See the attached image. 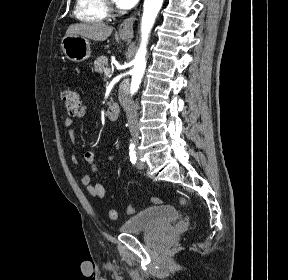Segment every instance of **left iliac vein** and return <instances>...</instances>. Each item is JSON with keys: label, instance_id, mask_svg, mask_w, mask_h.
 Listing matches in <instances>:
<instances>
[{"label": "left iliac vein", "instance_id": "obj_1", "mask_svg": "<svg viewBox=\"0 0 288 280\" xmlns=\"http://www.w3.org/2000/svg\"><path fill=\"white\" fill-rule=\"evenodd\" d=\"M136 166L139 170H141L144 168V163L140 159H138Z\"/></svg>", "mask_w": 288, "mask_h": 280}]
</instances>
